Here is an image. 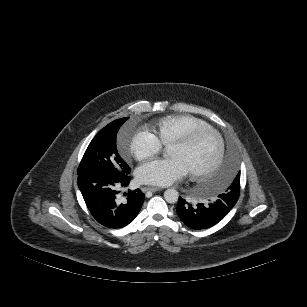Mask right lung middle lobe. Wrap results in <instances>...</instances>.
Wrapping results in <instances>:
<instances>
[{
    "mask_svg": "<svg viewBox=\"0 0 307 307\" xmlns=\"http://www.w3.org/2000/svg\"><path fill=\"white\" fill-rule=\"evenodd\" d=\"M127 119L111 122L96 134L80 162L78 175L100 172L122 176L130 172L129 166L120 157L116 146V134Z\"/></svg>",
    "mask_w": 307,
    "mask_h": 307,
    "instance_id": "right-lung-middle-lobe-1",
    "label": "right lung middle lobe"
}]
</instances>
